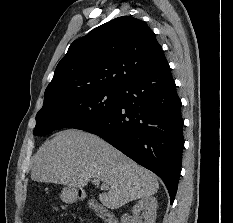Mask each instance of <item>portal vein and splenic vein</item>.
I'll list each match as a JSON object with an SVG mask.
<instances>
[{
  "label": "portal vein and splenic vein",
  "mask_w": 233,
  "mask_h": 223,
  "mask_svg": "<svg viewBox=\"0 0 233 223\" xmlns=\"http://www.w3.org/2000/svg\"><path fill=\"white\" fill-rule=\"evenodd\" d=\"M93 183H95V185H100L101 179H99V177H94ZM102 187H107V183H102Z\"/></svg>",
  "instance_id": "portal-vein-and-splenic-vein-1"
}]
</instances>
